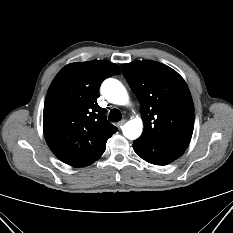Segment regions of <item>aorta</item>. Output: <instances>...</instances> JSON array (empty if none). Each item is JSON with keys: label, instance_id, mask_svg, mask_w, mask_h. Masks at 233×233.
<instances>
[{"label": "aorta", "instance_id": "1", "mask_svg": "<svg viewBox=\"0 0 233 233\" xmlns=\"http://www.w3.org/2000/svg\"><path fill=\"white\" fill-rule=\"evenodd\" d=\"M101 91L103 96L113 104L117 105H125L128 102V93L123 86V84L113 78L106 79L101 87ZM143 129V122L141 118H135L130 121H128L124 126H123V135L130 139V140H135L137 139Z\"/></svg>", "mask_w": 233, "mask_h": 233}]
</instances>
